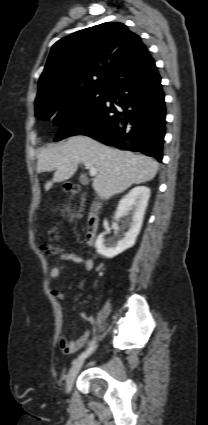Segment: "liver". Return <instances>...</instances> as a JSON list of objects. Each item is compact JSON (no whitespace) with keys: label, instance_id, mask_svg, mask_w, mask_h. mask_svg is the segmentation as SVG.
<instances>
[{"label":"liver","instance_id":"liver-1","mask_svg":"<svg viewBox=\"0 0 208 425\" xmlns=\"http://www.w3.org/2000/svg\"><path fill=\"white\" fill-rule=\"evenodd\" d=\"M82 162L97 168L92 186L103 200L124 192L133 184L151 181L159 168L158 162L148 156L114 149L87 136H73L63 144L40 151L37 172L55 171L45 190L54 182L70 179Z\"/></svg>","mask_w":208,"mask_h":425}]
</instances>
